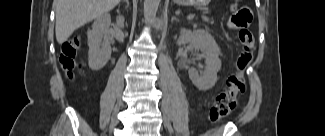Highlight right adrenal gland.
<instances>
[{"label":"right adrenal gland","instance_id":"obj_1","mask_svg":"<svg viewBox=\"0 0 325 136\" xmlns=\"http://www.w3.org/2000/svg\"><path fill=\"white\" fill-rule=\"evenodd\" d=\"M122 2H126V9L128 8V6H129V0H122Z\"/></svg>","mask_w":325,"mask_h":136}]
</instances>
